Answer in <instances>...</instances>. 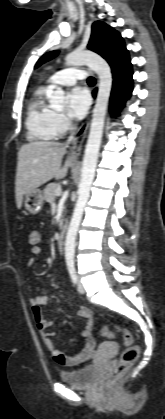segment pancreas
Wrapping results in <instances>:
<instances>
[{
  "instance_id": "obj_1",
  "label": "pancreas",
  "mask_w": 165,
  "mask_h": 419,
  "mask_svg": "<svg viewBox=\"0 0 165 419\" xmlns=\"http://www.w3.org/2000/svg\"><path fill=\"white\" fill-rule=\"evenodd\" d=\"M60 188L57 183H49L43 190L44 199L48 203H53L56 198L55 191Z\"/></svg>"
}]
</instances>
